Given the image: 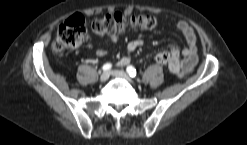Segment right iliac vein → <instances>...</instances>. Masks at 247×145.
Listing matches in <instances>:
<instances>
[{
    "mask_svg": "<svg viewBox=\"0 0 247 145\" xmlns=\"http://www.w3.org/2000/svg\"><path fill=\"white\" fill-rule=\"evenodd\" d=\"M110 77V72L104 71L101 76H100V81L101 82H106Z\"/></svg>",
    "mask_w": 247,
    "mask_h": 145,
    "instance_id": "63e3f726",
    "label": "right iliac vein"
}]
</instances>
